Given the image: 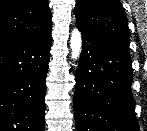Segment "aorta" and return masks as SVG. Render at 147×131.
<instances>
[{
    "label": "aorta",
    "mask_w": 147,
    "mask_h": 131,
    "mask_svg": "<svg viewBox=\"0 0 147 131\" xmlns=\"http://www.w3.org/2000/svg\"><path fill=\"white\" fill-rule=\"evenodd\" d=\"M71 58L77 60L82 50V38L78 29H74L70 38Z\"/></svg>",
    "instance_id": "obj_1"
}]
</instances>
